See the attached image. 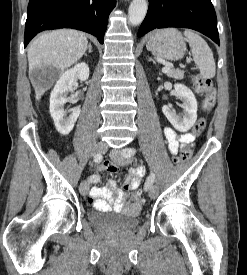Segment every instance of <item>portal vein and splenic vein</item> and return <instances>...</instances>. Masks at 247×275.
<instances>
[{
	"mask_svg": "<svg viewBox=\"0 0 247 275\" xmlns=\"http://www.w3.org/2000/svg\"><path fill=\"white\" fill-rule=\"evenodd\" d=\"M170 71V67H164L162 68L163 73H168Z\"/></svg>",
	"mask_w": 247,
	"mask_h": 275,
	"instance_id": "18ae733b",
	"label": "portal vein and splenic vein"
}]
</instances>
